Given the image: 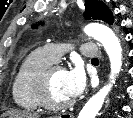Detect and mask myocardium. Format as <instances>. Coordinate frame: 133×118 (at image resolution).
Listing matches in <instances>:
<instances>
[{
  "instance_id": "1",
  "label": "myocardium",
  "mask_w": 133,
  "mask_h": 118,
  "mask_svg": "<svg viewBox=\"0 0 133 118\" xmlns=\"http://www.w3.org/2000/svg\"><path fill=\"white\" fill-rule=\"evenodd\" d=\"M61 68L58 64H51L49 65L40 75L38 82H37V96L42 105L47 110L50 111H64L69 109L73 106L74 101L69 100L63 103L55 102L50 96V78L52 72L57 69Z\"/></svg>"
}]
</instances>
